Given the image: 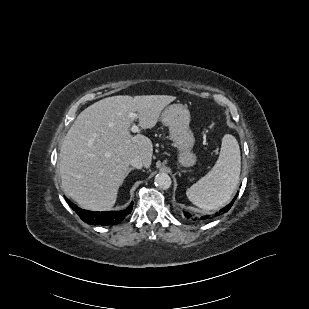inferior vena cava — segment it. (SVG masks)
Instances as JSON below:
<instances>
[{
  "label": "inferior vena cava",
  "mask_w": 309,
  "mask_h": 309,
  "mask_svg": "<svg viewBox=\"0 0 309 309\" xmlns=\"http://www.w3.org/2000/svg\"><path fill=\"white\" fill-rule=\"evenodd\" d=\"M129 163H130L133 167H135V168H137V169H140V168H142V167L144 166L143 159H142V157L139 156V155H135V156L131 157L130 160H129Z\"/></svg>",
  "instance_id": "inferior-vena-cava-1"
}]
</instances>
